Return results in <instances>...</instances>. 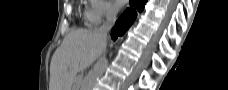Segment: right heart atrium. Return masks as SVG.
<instances>
[{"label": "right heart atrium", "instance_id": "d8ad5b80", "mask_svg": "<svg viewBox=\"0 0 228 90\" xmlns=\"http://www.w3.org/2000/svg\"><path fill=\"white\" fill-rule=\"evenodd\" d=\"M90 4L91 8L87 12V17L93 24L102 23L116 12V8L107 0H91Z\"/></svg>", "mask_w": 228, "mask_h": 90}]
</instances>
